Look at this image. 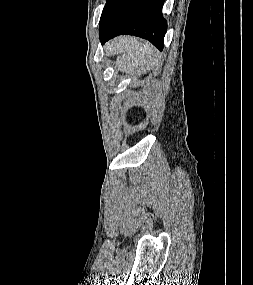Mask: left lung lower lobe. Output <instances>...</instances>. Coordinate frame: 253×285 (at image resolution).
Masks as SVG:
<instances>
[{
    "mask_svg": "<svg viewBox=\"0 0 253 285\" xmlns=\"http://www.w3.org/2000/svg\"><path fill=\"white\" fill-rule=\"evenodd\" d=\"M163 4L164 0H107L99 23L101 43L129 34L147 39L162 50L167 31L161 14Z\"/></svg>",
    "mask_w": 253,
    "mask_h": 285,
    "instance_id": "1",
    "label": "left lung lower lobe"
}]
</instances>
